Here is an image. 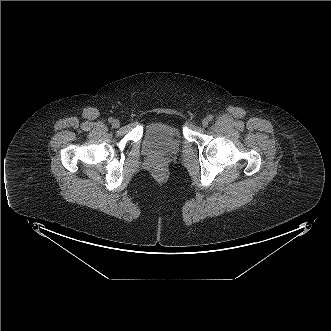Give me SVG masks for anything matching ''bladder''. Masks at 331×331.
Instances as JSON below:
<instances>
[{"label": "bladder", "mask_w": 331, "mask_h": 331, "mask_svg": "<svg viewBox=\"0 0 331 331\" xmlns=\"http://www.w3.org/2000/svg\"><path fill=\"white\" fill-rule=\"evenodd\" d=\"M182 143L178 126L169 122H154L144 129L141 148L147 156L162 157L177 154Z\"/></svg>", "instance_id": "obj_1"}]
</instances>
